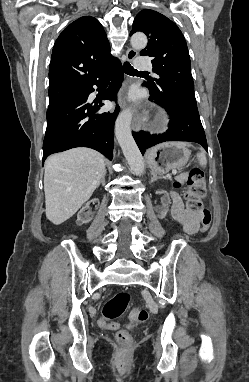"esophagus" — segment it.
<instances>
[{
    "mask_svg": "<svg viewBox=\"0 0 249 382\" xmlns=\"http://www.w3.org/2000/svg\"><path fill=\"white\" fill-rule=\"evenodd\" d=\"M136 56H137L136 50H134L132 48L127 50L126 59L128 61H130V62L133 61L136 58ZM141 126H142V116L139 112H136L133 116L132 127L135 131H138V130H140Z\"/></svg>",
    "mask_w": 249,
    "mask_h": 382,
    "instance_id": "34e87169",
    "label": "esophagus"
}]
</instances>
